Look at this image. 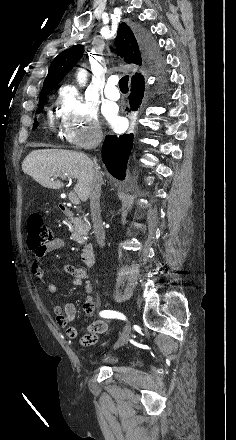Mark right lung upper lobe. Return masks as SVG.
Returning <instances> with one entry per match:
<instances>
[{"label": "right lung upper lobe", "instance_id": "1", "mask_svg": "<svg viewBox=\"0 0 236 440\" xmlns=\"http://www.w3.org/2000/svg\"><path fill=\"white\" fill-rule=\"evenodd\" d=\"M118 53L124 58L128 64H136L141 66L146 63L139 37L134 34L131 28L122 22L119 25L118 35L116 37ZM84 48L82 45L73 46L63 52H61L52 62L48 75L44 81L43 88L41 90L40 98L47 95L49 91L56 88L57 84L62 78L75 66L77 61L82 57ZM141 74L136 73L132 77V83L143 80Z\"/></svg>", "mask_w": 236, "mask_h": 440}]
</instances>
